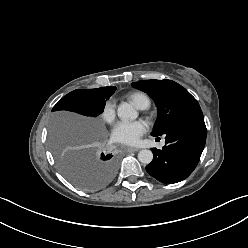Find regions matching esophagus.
Here are the masks:
<instances>
[{
  "label": "esophagus",
  "instance_id": "esophagus-1",
  "mask_svg": "<svg viewBox=\"0 0 248 248\" xmlns=\"http://www.w3.org/2000/svg\"><path fill=\"white\" fill-rule=\"evenodd\" d=\"M125 151L126 152H137V151H139V149L138 148H133V147H126Z\"/></svg>",
  "mask_w": 248,
  "mask_h": 248
}]
</instances>
